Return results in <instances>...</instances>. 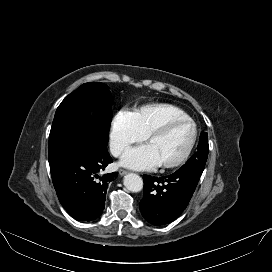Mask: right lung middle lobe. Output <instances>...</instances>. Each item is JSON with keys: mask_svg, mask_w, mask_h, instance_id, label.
Wrapping results in <instances>:
<instances>
[{"mask_svg": "<svg viewBox=\"0 0 272 272\" xmlns=\"http://www.w3.org/2000/svg\"><path fill=\"white\" fill-rule=\"evenodd\" d=\"M112 105L108 86L100 82L85 83L69 94L55 113L49 135V164L83 137L95 144L107 145Z\"/></svg>", "mask_w": 272, "mask_h": 272, "instance_id": "dd1d6c3e", "label": "right lung middle lobe"}]
</instances>
